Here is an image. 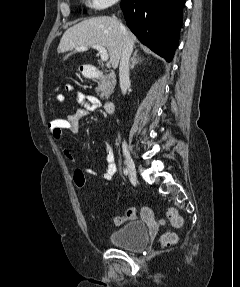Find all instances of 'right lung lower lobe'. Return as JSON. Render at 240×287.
Listing matches in <instances>:
<instances>
[{
  "label": "right lung lower lobe",
  "instance_id": "obj_1",
  "mask_svg": "<svg viewBox=\"0 0 240 287\" xmlns=\"http://www.w3.org/2000/svg\"><path fill=\"white\" fill-rule=\"evenodd\" d=\"M185 0H122L127 26L152 51L170 62L178 46Z\"/></svg>",
  "mask_w": 240,
  "mask_h": 287
}]
</instances>
